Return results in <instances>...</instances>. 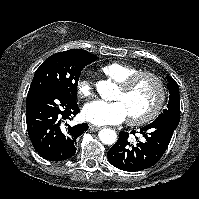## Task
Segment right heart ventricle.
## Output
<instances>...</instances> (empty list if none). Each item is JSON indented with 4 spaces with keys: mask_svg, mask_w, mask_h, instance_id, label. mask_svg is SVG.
Returning <instances> with one entry per match:
<instances>
[{
    "mask_svg": "<svg viewBox=\"0 0 199 199\" xmlns=\"http://www.w3.org/2000/svg\"><path fill=\"white\" fill-rule=\"evenodd\" d=\"M101 70L117 83H121L128 77L141 71L137 66L119 61L107 63L101 67Z\"/></svg>",
    "mask_w": 199,
    "mask_h": 199,
    "instance_id": "e07e8e85",
    "label": "right heart ventricle"
}]
</instances>
